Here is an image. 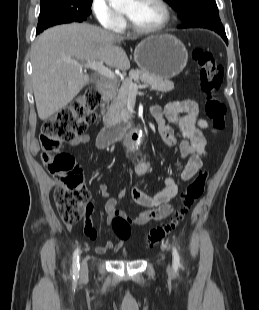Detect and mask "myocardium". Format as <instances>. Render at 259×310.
<instances>
[{"mask_svg": "<svg viewBox=\"0 0 259 310\" xmlns=\"http://www.w3.org/2000/svg\"><path fill=\"white\" fill-rule=\"evenodd\" d=\"M156 2L162 7L163 12H164V17L162 21L156 25L155 27L152 28H142L137 26L126 14L125 18L127 21V24L131 30L138 34H143V35H148V34H155L163 31L171 22L172 19V11L167 3L166 0H156Z\"/></svg>", "mask_w": 259, "mask_h": 310, "instance_id": "myocardium-1", "label": "myocardium"}]
</instances>
